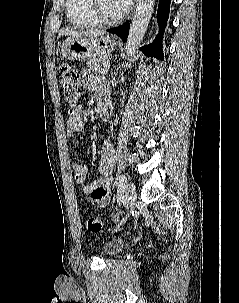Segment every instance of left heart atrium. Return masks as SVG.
Returning a JSON list of instances; mask_svg holds the SVG:
<instances>
[{"mask_svg": "<svg viewBox=\"0 0 239 303\" xmlns=\"http://www.w3.org/2000/svg\"><path fill=\"white\" fill-rule=\"evenodd\" d=\"M120 6L125 10H128L132 4V0H117Z\"/></svg>", "mask_w": 239, "mask_h": 303, "instance_id": "left-heart-atrium-1", "label": "left heart atrium"}]
</instances>
